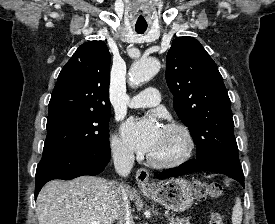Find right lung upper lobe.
<instances>
[{"label": "right lung upper lobe", "mask_w": 275, "mask_h": 224, "mask_svg": "<svg viewBox=\"0 0 275 224\" xmlns=\"http://www.w3.org/2000/svg\"><path fill=\"white\" fill-rule=\"evenodd\" d=\"M110 53L103 41L82 44L61 70L48 115L61 111H111Z\"/></svg>", "instance_id": "right-lung-upper-lobe-1"}]
</instances>
